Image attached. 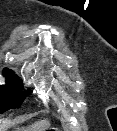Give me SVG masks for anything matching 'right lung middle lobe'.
Masks as SVG:
<instances>
[{"label":"right lung middle lobe","mask_w":117,"mask_h":131,"mask_svg":"<svg viewBox=\"0 0 117 131\" xmlns=\"http://www.w3.org/2000/svg\"><path fill=\"white\" fill-rule=\"evenodd\" d=\"M6 84L0 86V114L9 109L18 108L25 99L22 81L12 70H4Z\"/></svg>","instance_id":"1"}]
</instances>
